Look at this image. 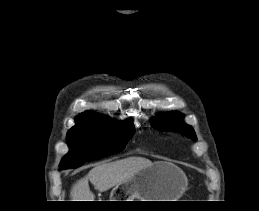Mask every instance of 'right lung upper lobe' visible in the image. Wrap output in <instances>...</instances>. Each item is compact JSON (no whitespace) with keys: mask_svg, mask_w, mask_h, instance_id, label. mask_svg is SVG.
<instances>
[{"mask_svg":"<svg viewBox=\"0 0 259 211\" xmlns=\"http://www.w3.org/2000/svg\"><path fill=\"white\" fill-rule=\"evenodd\" d=\"M77 117L107 118V117H104L101 114H98V113L92 112V111L83 112V113L79 114Z\"/></svg>","mask_w":259,"mask_h":211,"instance_id":"cb5924a9","label":"right lung upper lobe"}]
</instances>
